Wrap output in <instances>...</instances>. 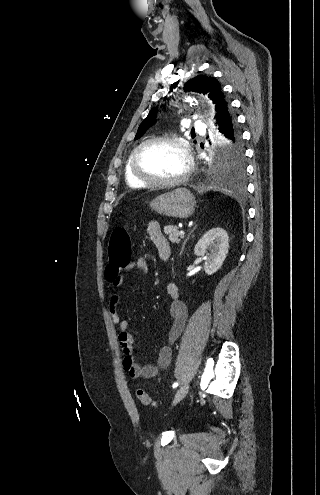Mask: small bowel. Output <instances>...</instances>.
I'll list each match as a JSON object with an SVG mask.
<instances>
[{
	"instance_id": "small-bowel-1",
	"label": "small bowel",
	"mask_w": 320,
	"mask_h": 495,
	"mask_svg": "<svg viewBox=\"0 0 320 495\" xmlns=\"http://www.w3.org/2000/svg\"><path fill=\"white\" fill-rule=\"evenodd\" d=\"M147 233L157 248L159 254L163 249L169 248V244L157 221H150L148 223ZM125 270H138L146 274L149 271L148 262L144 258H140L136 262L128 265ZM107 279L115 287H118L123 283V276L121 273L113 275L107 272ZM167 292L172 298V302L169 307L170 327L168 331V344H165L160 348L156 364L147 365H140L133 354V336L130 332V322L123 320L120 317L118 310L120 296L117 293H113L110 296L109 313L112 321L118 326V342L124 354L123 367L133 379L154 378L160 370L167 368L171 363V344L182 333L187 321L188 310L184 301L179 298L178 288L175 283L170 282L167 284Z\"/></svg>"
}]
</instances>
